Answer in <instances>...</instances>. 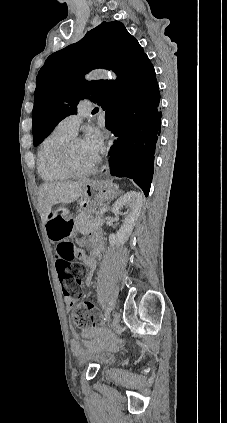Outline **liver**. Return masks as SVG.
I'll return each instance as SVG.
<instances>
[{
    "label": "liver",
    "mask_w": 227,
    "mask_h": 423,
    "mask_svg": "<svg viewBox=\"0 0 227 423\" xmlns=\"http://www.w3.org/2000/svg\"><path fill=\"white\" fill-rule=\"evenodd\" d=\"M86 182H54V184H42L39 188L38 206L40 213L47 221V215L51 213L52 206L56 204H72L82 196V190Z\"/></svg>",
    "instance_id": "6515ba94"
}]
</instances>
